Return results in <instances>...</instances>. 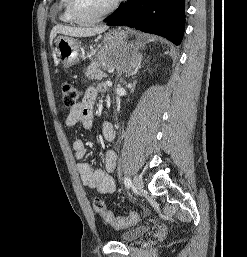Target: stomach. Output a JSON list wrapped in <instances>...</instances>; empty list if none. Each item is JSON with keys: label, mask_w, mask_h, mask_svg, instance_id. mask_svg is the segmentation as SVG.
<instances>
[{"label": "stomach", "mask_w": 247, "mask_h": 257, "mask_svg": "<svg viewBox=\"0 0 247 257\" xmlns=\"http://www.w3.org/2000/svg\"><path fill=\"white\" fill-rule=\"evenodd\" d=\"M55 53L64 66L69 67L80 60V42L77 39L58 36L55 41ZM138 48L128 41V33L120 28L107 32L99 53V59L109 65L127 72L138 65Z\"/></svg>", "instance_id": "stomach-1"}]
</instances>
